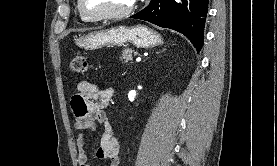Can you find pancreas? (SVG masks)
<instances>
[{
  "label": "pancreas",
  "mask_w": 277,
  "mask_h": 166,
  "mask_svg": "<svg viewBox=\"0 0 277 166\" xmlns=\"http://www.w3.org/2000/svg\"><path fill=\"white\" fill-rule=\"evenodd\" d=\"M137 54V51H134L130 48H125L122 51V59L125 60V62H129L133 60V55Z\"/></svg>",
  "instance_id": "cf45deb5"
}]
</instances>
